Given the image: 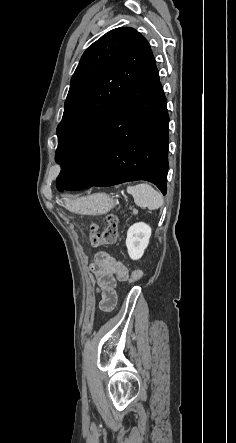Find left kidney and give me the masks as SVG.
<instances>
[{
  "mask_svg": "<svg viewBox=\"0 0 236 443\" xmlns=\"http://www.w3.org/2000/svg\"><path fill=\"white\" fill-rule=\"evenodd\" d=\"M151 228L149 225L139 222L133 224L127 231L126 247L132 260L140 259L149 244Z\"/></svg>",
  "mask_w": 236,
  "mask_h": 443,
  "instance_id": "1",
  "label": "left kidney"
}]
</instances>
